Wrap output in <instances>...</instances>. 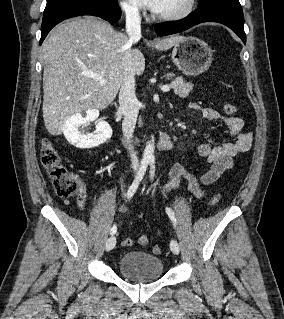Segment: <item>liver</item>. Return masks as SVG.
I'll list each match as a JSON object with an SVG mask.
<instances>
[{"mask_svg": "<svg viewBox=\"0 0 284 319\" xmlns=\"http://www.w3.org/2000/svg\"><path fill=\"white\" fill-rule=\"evenodd\" d=\"M182 36L157 40L153 46L168 50ZM127 35L92 16L75 18L56 26L42 45L43 119L52 135H60L66 121L76 113L108 107L129 75H140L145 58L131 49ZM96 74L107 80L89 75Z\"/></svg>", "mask_w": 284, "mask_h": 319, "instance_id": "1", "label": "liver"}]
</instances>
